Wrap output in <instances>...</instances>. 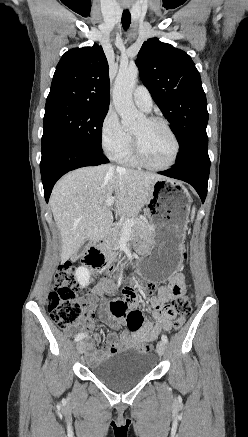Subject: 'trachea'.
Instances as JSON below:
<instances>
[{
  "instance_id": "obj_1",
  "label": "trachea",
  "mask_w": 248,
  "mask_h": 437,
  "mask_svg": "<svg viewBox=\"0 0 248 437\" xmlns=\"http://www.w3.org/2000/svg\"><path fill=\"white\" fill-rule=\"evenodd\" d=\"M131 23V14L128 9L123 11L122 14V25L125 30H127Z\"/></svg>"
}]
</instances>
